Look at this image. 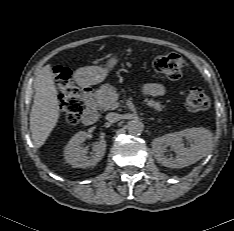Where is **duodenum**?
I'll list each match as a JSON object with an SVG mask.
<instances>
[{
  "label": "duodenum",
  "instance_id": "duodenum-1",
  "mask_svg": "<svg viewBox=\"0 0 234 231\" xmlns=\"http://www.w3.org/2000/svg\"><path fill=\"white\" fill-rule=\"evenodd\" d=\"M82 96L85 101V109L82 113V121L86 125L93 124L98 119V110L94 103V93L91 86H82Z\"/></svg>",
  "mask_w": 234,
  "mask_h": 231
}]
</instances>
